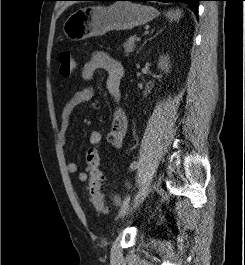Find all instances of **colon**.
Returning <instances> with one entry per match:
<instances>
[{
  "instance_id": "colon-1",
  "label": "colon",
  "mask_w": 245,
  "mask_h": 265,
  "mask_svg": "<svg viewBox=\"0 0 245 265\" xmlns=\"http://www.w3.org/2000/svg\"><path fill=\"white\" fill-rule=\"evenodd\" d=\"M60 74L63 77H70L75 69L76 62L73 55L69 51H63L59 54ZM99 152L96 147H91L86 153L85 166L89 175L88 191L91 196L92 203L96 210L101 213L107 212L104 204V198L101 193L103 175L99 168Z\"/></svg>"
}]
</instances>
